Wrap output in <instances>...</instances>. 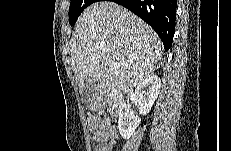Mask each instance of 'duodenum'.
<instances>
[{"label":"duodenum","mask_w":231,"mask_h":151,"mask_svg":"<svg viewBox=\"0 0 231 151\" xmlns=\"http://www.w3.org/2000/svg\"><path fill=\"white\" fill-rule=\"evenodd\" d=\"M107 88L105 86H99L100 92H105ZM105 101L108 103L112 111H118L121 107L122 100L118 93H111L105 97Z\"/></svg>","instance_id":"obj_1"}]
</instances>
